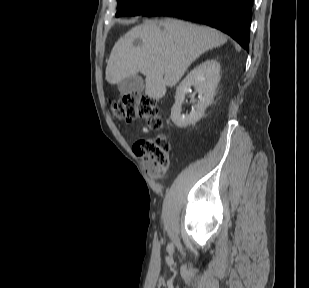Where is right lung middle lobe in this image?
<instances>
[{"label":"right lung middle lobe","mask_w":309,"mask_h":288,"mask_svg":"<svg viewBox=\"0 0 309 288\" xmlns=\"http://www.w3.org/2000/svg\"><path fill=\"white\" fill-rule=\"evenodd\" d=\"M116 17L135 16L151 9L163 0H117Z\"/></svg>","instance_id":"obj_1"}]
</instances>
